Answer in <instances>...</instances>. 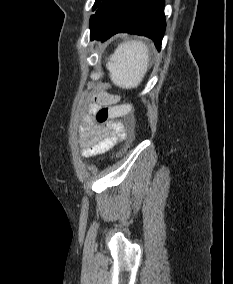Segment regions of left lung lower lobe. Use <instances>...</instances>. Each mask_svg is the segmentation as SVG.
I'll use <instances>...</instances> for the list:
<instances>
[{
	"label": "left lung lower lobe",
	"mask_w": 233,
	"mask_h": 284,
	"mask_svg": "<svg viewBox=\"0 0 233 284\" xmlns=\"http://www.w3.org/2000/svg\"><path fill=\"white\" fill-rule=\"evenodd\" d=\"M164 0H103L90 27V40L125 32L146 36L161 48L165 31Z\"/></svg>",
	"instance_id": "left-lung-lower-lobe-1"
}]
</instances>
